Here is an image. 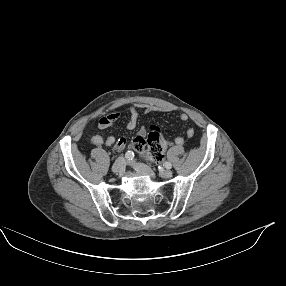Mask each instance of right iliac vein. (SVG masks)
I'll list each match as a JSON object with an SVG mask.
<instances>
[{
	"mask_svg": "<svg viewBox=\"0 0 286 286\" xmlns=\"http://www.w3.org/2000/svg\"><path fill=\"white\" fill-rule=\"evenodd\" d=\"M126 166V162L124 158H118L112 166V171L116 174H121L124 172Z\"/></svg>",
	"mask_w": 286,
	"mask_h": 286,
	"instance_id": "obj_1",
	"label": "right iliac vein"
}]
</instances>
